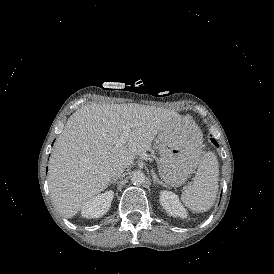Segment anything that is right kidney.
Masks as SVG:
<instances>
[{"instance_id":"1","label":"right kidney","mask_w":274,"mask_h":274,"mask_svg":"<svg viewBox=\"0 0 274 274\" xmlns=\"http://www.w3.org/2000/svg\"><path fill=\"white\" fill-rule=\"evenodd\" d=\"M113 197L114 193L112 191L93 197L90 202L84 205L81 212L82 216L86 218L103 216L109 210Z\"/></svg>"}]
</instances>
